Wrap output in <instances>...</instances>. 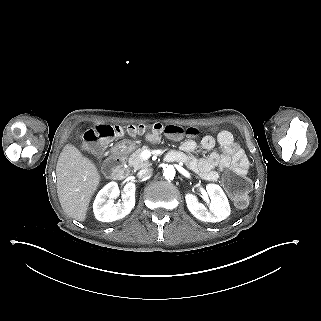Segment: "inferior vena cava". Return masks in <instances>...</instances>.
<instances>
[{
    "label": "inferior vena cava",
    "mask_w": 321,
    "mask_h": 321,
    "mask_svg": "<svg viewBox=\"0 0 321 321\" xmlns=\"http://www.w3.org/2000/svg\"><path fill=\"white\" fill-rule=\"evenodd\" d=\"M153 169L152 168H144L141 169L138 173H137V177L142 179V178H146L148 177L151 173H152Z\"/></svg>",
    "instance_id": "obj_1"
}]
</instances>
